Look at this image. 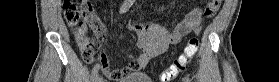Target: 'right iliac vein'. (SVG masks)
Wrapping results in <instances>:
<instances>
[{"instance_id":"right-iliac-vein-1","label":"right iliac vein","mask_w":279,"mask_h":82,"mask_svg":"<svg viewBox=\"0 0 279 82\" xmlns=\"http://www.w3.org/2000/svg\"><path fill=\"white\" fill-rule=\"evenodd\" d=\"M96 82H103V80L101 77H99Z\"/></svg>"}]
</instances>
